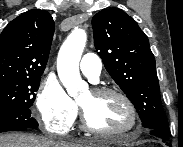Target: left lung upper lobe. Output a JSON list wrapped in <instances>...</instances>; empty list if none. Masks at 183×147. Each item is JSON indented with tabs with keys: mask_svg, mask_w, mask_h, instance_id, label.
Wrapping results in <instances>:
<instances>
[{
	"mask_svg": "<svg viewBox=\"0 0 183 147\" xmlns=\"http://www.w3.org/2000/svg\"><path fill=\"white\" fill-rule=\"evenodd\" d=\"M94 44L106 70L135 106L146 129L169 132L156 63L137 22L118 8L93 16Z\"/></svg>",
	"mask_w": 183,
	"mask_h": 147,
	"instance_id": "obj_1",
	"label": "left lung upper lobe"
}]
</instances>
